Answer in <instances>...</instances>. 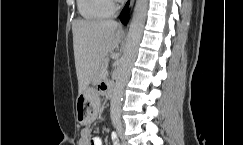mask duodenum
Here are the masks:
<instances>
[{
    "label": "duodenum",
    "instance_id": "obj_1",
    "mask_svg": "<svg viewBox=\"0 0 243 145\" xmlns=\"http://www.w3.org/2000/svg\"><path fill=\"white\" fill-rule=\"evenodd\" d=\"M112 93L111 91H108V96L111 97Z\"/></svg>",
    "mask_w": 243,
    "mask_h": 145
}]
</instances>
